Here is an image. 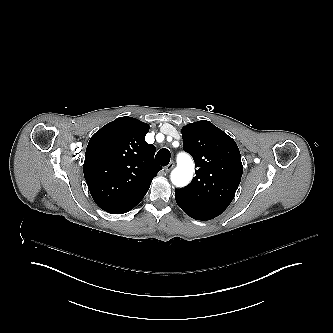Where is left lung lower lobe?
Here are the masks:
<instances>
[{"label":"left lung lower lobe","instance_id":"0a47b994","mask_svg":"<svg viewBox=\"0 0 333 333\" xmlns=\"http://www.w3.org/2000/svg\"><path fill=\"white\" fill-rule=\"evenodd\" d=\"M176 202L178 206L190 217L196 219V220H210L218 215H220L222 212L214 211V210H209V209H204L200 208L197 206H194L190 203H187L185 201L176 199Z\"/></svg>","mask_w":333,"mask_h":333}]
</instances>
